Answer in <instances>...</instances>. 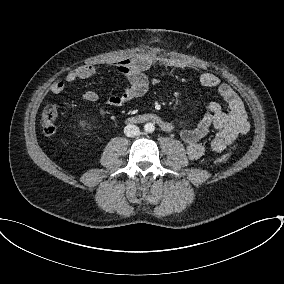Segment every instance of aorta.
<instances>
[{
    "label": "aorta",
    "mask_w": 284,
    "mask_h": 284,
    "mask_svg": "<svg viewBox=\"0 0 284 284\" xmlns=\"http://www.w3.org/2000/svg\"><path fill=\"white\" fill-rule=\"evenodd\" d=\"M155 130V126L153 123L149 122L144 125V131L146 133H152Z\"/></svg>",
    "instance_id": "762f6f07"
}]
</instances>
